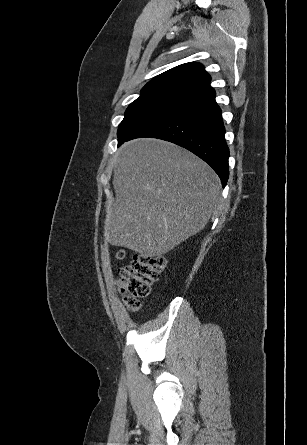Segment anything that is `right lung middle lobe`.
I'll return each mask as SVG.
<instances>
[{
  "label": "right lung middle lobe",
  "mask_w": 307,
  "mask_h": 445,
  "mask_svg": "<svg viewBox=\"0 0 307 445\" xmlns=\"http://www.w3.org/2000/svg\"><path fill=\"white\" fill-rule=\"evenodd\" d=\"M184 102L182 99L164 96H140L125 112V117L118 128V141Z\"/></svg>",
  "instance_id": "dd1d6c3e"
}]
</instances>
